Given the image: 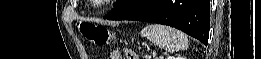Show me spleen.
I'll list each match as a JSON object with an SVG mask.
<instances>
[{"instance_id": "1", "label": "spleen", "mask_w": 261, "mask_h": 59, "mask_svg": "<svg viewBox=\"0 0 261 59\" xmlns=\"http://www.w3.org/2000/svg\"><path fill=\"white\" fill-rule=\"evenodd\" d=\"M141 36L146 37L154 45L164 48L168 52H176L188 48V39L181 31L160 24H150L141 31Z\"/></svg>"}]
</instances>
